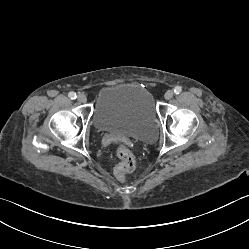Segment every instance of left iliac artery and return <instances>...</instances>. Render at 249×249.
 I'll use <instances>...</instances> for the list:
<instances>
[{"instance_id":"1","label":"left iliac artery","mask_w":249,"mask_h":249,"mask_svg":"<svg viewBox=\"0 0 249 249\" xmlns=\"http://www.w3.org/2000/svg\"><path fill=\"white\" fill-rule=\"evenodd\" d=\"M173 91L175 94H179V93H181L182 88L180 86H176Z\"/></svg>"}]
</instances>
